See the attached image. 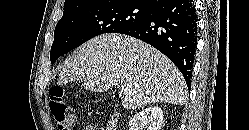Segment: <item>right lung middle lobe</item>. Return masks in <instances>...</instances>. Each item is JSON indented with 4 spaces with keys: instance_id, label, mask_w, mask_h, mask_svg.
Instances as JSON below:
<instances>
[{
    "instance_id": "1",
    "label": "right lung middle lobe",
    "mask_w": 249,
    "mask_h": 130,
    "mask_svg": "<svg viewBox=\"0 0 249 130\" xmlns=\"http://www.w3.org/2000/svg\"><path fill=\"white\" fill-rule=\"evenodd\" d=\"M152 8L134 0H108L66 11L57 23L50 60L104 33H119L148 17Z\"/></svg>"
}]
</instances>
